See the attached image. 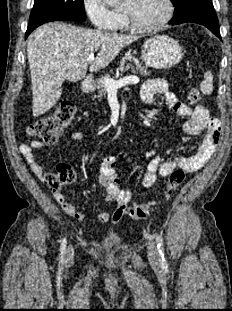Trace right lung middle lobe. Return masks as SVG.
I'll use <instances>...</instances> for the list:
<instances>
[{"instance_id":"dd1d6c3e","label":"right lung middle lobe","mask_w":232,"mask_h":311,"mask_svg":"<svg viewBox=\"0 0 232 311\" xmlns=\"http://www.w3.org/2000/svg\"><path fill=\"white\" fill-rule=\"evenodd\" d=\"M52 14L70 15L85 20L83 0H35L29 21Z\"/></svg>"}]
</instances>
